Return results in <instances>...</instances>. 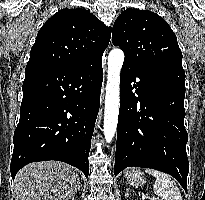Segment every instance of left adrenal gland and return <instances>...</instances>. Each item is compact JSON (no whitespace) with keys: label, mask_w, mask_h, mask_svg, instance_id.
Instances as JSON below:
<instances>
[{"label":"left adrenal gland","mask_w":205,"mask_h":200,"mask_svg":"<svg viewBox=\"0 0 205 200\" xmlns=\"http://www.w3.org/2000/svg\"><path fill=\"white\" fill-rule=\"evenodd\" d=\"M129 194H130V193H129V189L126 188V191H125V197L128 198V197H129Z\"/></svg>","instance_id":"a2214340"}]
</instances>
